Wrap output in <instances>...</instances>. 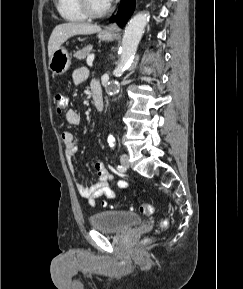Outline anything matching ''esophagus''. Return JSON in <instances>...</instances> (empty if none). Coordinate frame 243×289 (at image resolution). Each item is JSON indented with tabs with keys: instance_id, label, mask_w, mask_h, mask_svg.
<instances>
[{
	"instance_id": "esophagus-1",
	"label": "esophagus",
	"mask_w": 243,
	"mask_h": 289,
	"mask_svg": "<svg viewBox=\"0 0 243 289\" xmlns=\"http://www.w3.org/2000/svg\"><path fill=\"white\" fill-rule=\"evenodd\" d=\"M105 31L109 33H118L120 31V27L116 23H112L106 28Z\"/></svg>"
}]
</instances>
